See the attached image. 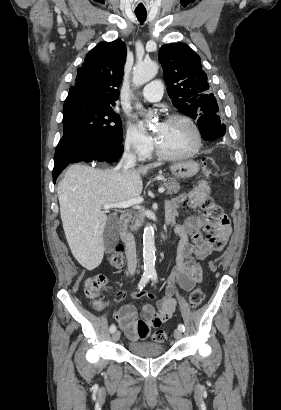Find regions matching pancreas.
<instances>
[{
	"label": "pancreas",
	"mask_w": 281,
	"mask_h": 410,
	"mask_svg": "<svg viewBox=\"0 0 281 410\" xmlns=\"http://www.w3.org/2000/svg\"><path fill=\"white\" fill-rule=\"evenodd\" d=\"M161 185L167 189V195L176 194L180 190L179 182L174 178H169L168 181L163 180ZM129 221L131 222L130 228L132 230H137L144 222V214L136 213L134 216L129 215Z\"/></svg>",
	"instance_id": "obj_1"
}]
</instances>
